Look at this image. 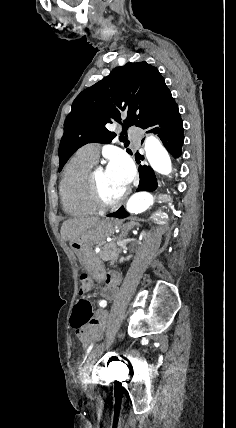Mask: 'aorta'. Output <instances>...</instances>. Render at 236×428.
<instances>
[{"label":"aorta","mask_w":236,"mask_h":428,"mask_svg":"<svg viewBox=\"0 0 236 428\" xmlns=\"http://www.w3.org/2000/svg\"><path fill=\"white\" fill-rule=\"evenodd\" d=\"M146 158L151 168L160 174L168 175L172 171L171 159L161 142L155 136H149L145 140ZM154 202L153 196L148 192L133 194L127 202L126 209L129 213H142Z\"/></svg>","instance_id":"762f6f07"}]
</instances>
